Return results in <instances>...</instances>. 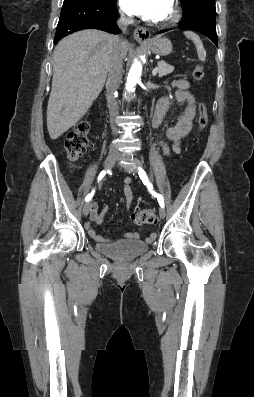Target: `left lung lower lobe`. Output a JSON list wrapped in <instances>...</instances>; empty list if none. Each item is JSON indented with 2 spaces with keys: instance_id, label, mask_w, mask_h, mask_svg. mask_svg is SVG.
I'll return each instance as SVG.
<instances>
[{
  "instance_id": "0a47b994",
  "label": "left lung lower lobe",
  "mask_w": 254,
  "mask_h": 397,
  "mask_svg": "<svg viewBox=\"0 0 254 397\" xmlns=\"http://www.w3.org/2000/svg\"><path fill=\"white\" fill-rule=\"evenodd\" d=\"M182 5L184 13L178 28L200 32L218 46L215 0H186ZM166 31L168 29L161 30L159 33Z\"/></svg>"
}]
</instances>
